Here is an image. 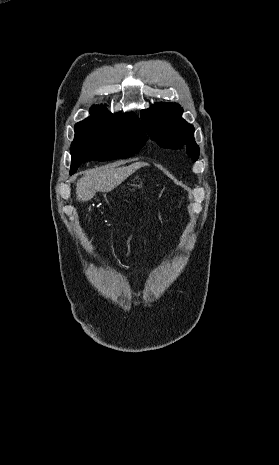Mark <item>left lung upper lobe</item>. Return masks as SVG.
<instances>
[{"label": "left lung upper lobe", "instance_id": "5c2ea615", "mask_svg": "<svg viewBox=\"0 0 279 465\" xmlns=\"http://www.w3.org/2000/svg\"><path fill=\"white\" fill-rule=\"evenodd\" d=\"M183 109L176 103H158L141 112L148 135L162 147L180 149L186 145L192 159L199 157V147L194 140V127L181 116Z\"/></svg>", "mask_w": 279, "mask_h": 465}]
</instances>
